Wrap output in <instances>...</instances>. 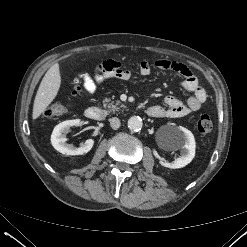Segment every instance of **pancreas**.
<instances>
[{"mask_svg":"<svg viewBox=\"0 0 247 247\" xmlns=\"http://www.w3.org/2000/svg\"><path fill=\"white\" fill-rule=\"evenodd\" d=\"M109 102H110L109 98H105L103 100V105L105 108L107 107L109 109V112L116 111L119 109V107H121V108L124 107V105L120 104L119 101H117L116 103H114V102L109 103Z\"/></svg>","mask_w":247,"mask_h":247,"instance_id":"1","label":"pancreas"}]
</instances>
